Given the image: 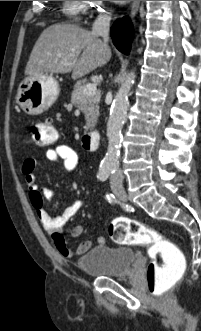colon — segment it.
<instances>
[{
  "mask_svg": "<svg viewBox=\"0 0 201 331\" xmlns=\"http://www.w3.org/2000/svg\"><path fill=\"white\" fill-rule=\"evenodd\" d=\"M31 137L34 144L47 146L55 142L56 131L48 120H37L31 125ZM110 238L124 245H148L151 261L146 270L147 287L160 304H164L166 295L182 277L185 260L178 247L157 231L142 223L119 217L109 227Z\"/></svg>",
  "mask_w": 201,
  "mask_h": 331,
  "instance_id": "obj_1",
  "label": "colon"
}]
</instances>
